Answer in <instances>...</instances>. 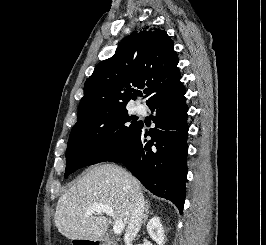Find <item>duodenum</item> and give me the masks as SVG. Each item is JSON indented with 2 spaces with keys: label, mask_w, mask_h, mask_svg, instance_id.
I'll use <instances>...</instances> for the list:
<instances>
[{
  "label": "duodenum",
  "mask_w": 266,
  "mask_h": 245,
  "mask_svg": "<svg viewBox=\"0 0 266 245\" xmlns=\"http://www.w3.org/2000/svg\"><path fill=\"white\" fill-rule=\"evenodd\" d=\"M75 245H120L117 240L104 237H74Z\"/></svg>",
  "instance_id": "1"
}]
</instances>
